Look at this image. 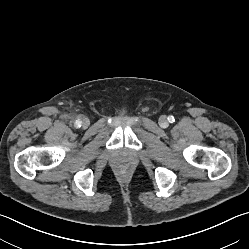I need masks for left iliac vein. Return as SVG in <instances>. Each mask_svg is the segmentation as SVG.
<instances>
[{
    "instance_id": "obj_1",
    "label": "left iliac vein",
    "mask_w": 249,
    "mask_h": 249,
    "mask_svg": "<svg viewBox=\"0 0 249 249\" xmlns=\"http://www.w3.org/2000/svg\"><path fill=\"white\" fill-rule=\"evenodd\" d=\"M159 124L161 127L166 128L168 126V120L166 116H161L159 118Z\"/></svg>"
}]
</instances>
